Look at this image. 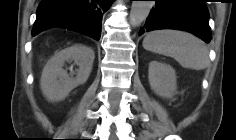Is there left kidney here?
<instances>
[{
  "instance_id": "1",
  "label": "left kidney",
  "mask_w": 236,
  "mask_h": 140,
  "mask_svg": "<svg viewBox=\"0 0 236 140\" xmlns=\"http://www.w3.org/2000/svg\"><path fill=\"white\" fill-rule=\"evenodd\" d=\"M148 79L151 89L159 96L171 98L176 91L175 70L158 61L149 63Z\"/></svg>"
}]
</instances>
